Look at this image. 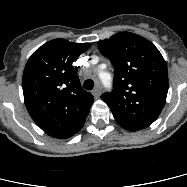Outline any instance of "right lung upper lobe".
<instances>
[{"label":"right lung upper lobe","mask_w":187,"mask_h":187,"mask_svg":"<svg viewBox=\"0 0 187 187\" xmlns=\"http://www.w3.org/2000/svg\"><path fill=\"white\" fill-rule=\"evenodd\" d=\"M89 43L51 40L28 59L22 78L24 101L35 123L48 135L66 139L78 133L93 96L80 84L72 63Z\"/></svg>","instance_id":"1"}]
</instances>
